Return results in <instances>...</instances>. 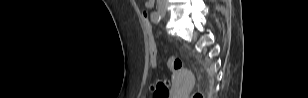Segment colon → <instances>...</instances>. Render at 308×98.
I'll return each instance as SVG.
<instances>
[{
	"label": "colon",
	"mask_w": 308,
	"mask_h": 98,
	"mask_svg": "<svg viewBox=\"0 0 308 98\" xmlns=\"http://www.w3.org/2000/svg\"><path fill=\"white\" fill-rule=\"evenodd\" d=\"M141 15L143 16L144 28L148 33V46H149V55L150 62L152 65L156 64L157 61V48L154 40L153 32L154 24H151L150 16L148 15L147 9L141 10ZM167 65L172 71H179L183 67L181 59L176 57H170L167 60ZM153 96L154 98H168L169 97V83L167 81H158L153 87ZM192 98H204L202 92H195L192 95Z\"/></svg>",
	"instance_id": "1"
}]
</instances>
